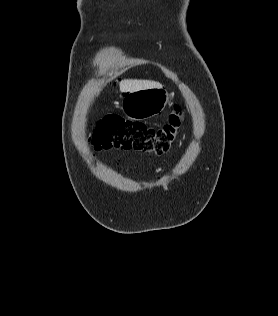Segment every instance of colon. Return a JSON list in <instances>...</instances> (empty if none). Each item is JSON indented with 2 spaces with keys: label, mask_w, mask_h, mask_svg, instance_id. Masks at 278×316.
Masks as SVG:
<instances>
[{
  "label": "colon",
  "mask_w": 278,
  "mask_h": 316,
  "mask_svg": "<svg viewBox=\"0 0 278 316\" xmlns=\"http://www.w3.org/2000/svg\"><path fill=\"white\" fill-rule=\"evenodd\" d=\"M183 120L184 112L178 105L160 128L109 114L97 122L92 144L97 151L118 148L163 155L173 146Z\"/></svg>",
  "instance_id": "colon-1"
}]
</instances>
